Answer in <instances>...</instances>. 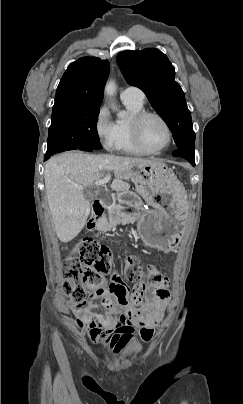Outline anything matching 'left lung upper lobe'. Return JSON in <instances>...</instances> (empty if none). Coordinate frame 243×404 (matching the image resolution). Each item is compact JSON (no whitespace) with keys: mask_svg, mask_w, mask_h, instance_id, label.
I'll use <instances>...</instances> for the list:
<instances>
[{"mask_svg":"<svg viewBox=\"0 0 243 404\" xmlns=\"http://www.w3.org/2000/svg\"><path fill=\"white\" fill-rule=\"evenodd\" d=\"M117 63L128 84L140 88L170 128L176 149L194 150L195 133L184 93L174 80L175 70L157 49L124 51Z\"/></svg>","mask_w":243,"mask_h":404,"instance_id":"left-lung-upper-lobe-1","label":"left lung upper lobe"}]
</instances>
